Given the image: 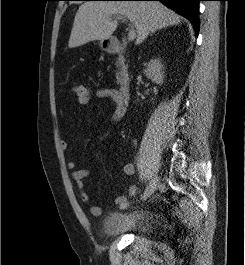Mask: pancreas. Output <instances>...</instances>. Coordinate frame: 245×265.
I'll return each instance as SVG.
<instances>
[{"label": "pancreas", "mask_w": 245, "mask_h": 265, "mask_svg": "<svg viewBox=\"0 0 245 265\" xmlns=\"http://www.w3.org/2000/svg\"><path fill=\"white\" fill-rule=\"evenodd\" d=\"M120 74H121V72H119V71L116 72L117 83H120V81H121Z\"/></svg>", "instance_id": "1"}]
</instances>
